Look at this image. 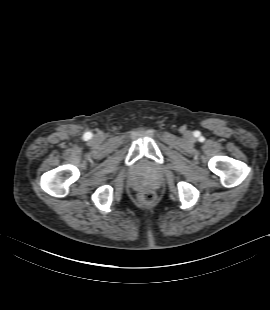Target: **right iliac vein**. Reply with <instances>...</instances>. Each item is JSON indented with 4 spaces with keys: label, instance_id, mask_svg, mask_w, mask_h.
Wrapping results in <instances>:
<instances>
[{
    "label": "right iliac vein",
    "instance_id": "obj_1",
    "mask_svg": "<svg viewBox=\"0 0 270 310\" xmlns=\"http://www.w3.org/2000/svg\"><path fill=\"white\" fill-rule=\"evenodd\" d=\"M97 139L100 140V137L98 136Z\"/></svg>",
    "mask_w": 270,
    "mask_h": 310
}]
</instances>
